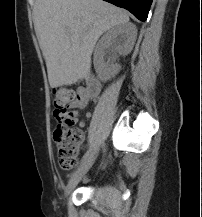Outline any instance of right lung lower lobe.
I'll use <instances>...</instances> for the list:
<instances>
[{
  "instance_id": "obj_1",
  "label": "right lung lower lobe",
  "mask_w": 202,
  "mask_h": 217,
  "mask_svg": "<svg viewBox=\"0 0 202 217\" xmlns=\"http://www.w3.org/2000/svg\"><path fill=\"white\" fill-rule=\"evenodd\" d=\"M129 10L140 21H146L152 0H104Z\"/></svg>"
}]
</instances>
